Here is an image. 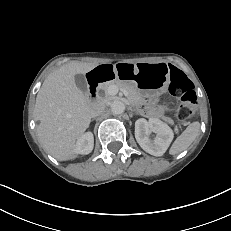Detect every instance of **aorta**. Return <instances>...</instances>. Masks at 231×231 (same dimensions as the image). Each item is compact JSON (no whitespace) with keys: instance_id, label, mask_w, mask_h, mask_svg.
<instances>
[{"instance_id":"aorta-1","label":"aorta","mask_w":231,"mask_h":231,"mask_svg":"<svg viewBox=\"0 0 231 231\" xmlns=\"http://www.w3.org/2000/svg\"><path fill=\"white\" fill-rule=\"evenodd\" d=\"M110 107L113 114H122L125 110V104L119 100L113 101Z\"/></svg>"}]
</instances>
